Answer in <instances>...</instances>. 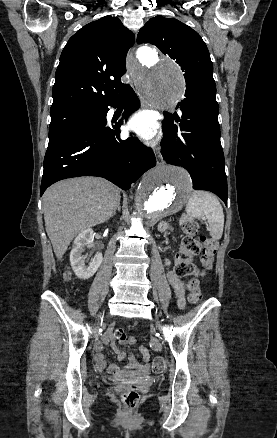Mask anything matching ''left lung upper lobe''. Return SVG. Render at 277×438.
Returning <instances> with one entry per match:
<instances>
[{
	"label": "left lung upper lobe",
	"instance_id": "1",
	"mask_svg": "<svg viewBox=\"0 0 277 438\" xmlns=\"http://www.w3.org/2000/svg\"><path fill=\"white\" fill-rule=\"evenodd\" d=\"M137 43L157 46L181 66L186 80L185 99L216 95L213 64L201 36L174 18L156 16L140 29ZM171 115L165 113V116Z\"/></svg>",
	"mask_w": 277,
	"mask_h": 438
}]
</instances>
